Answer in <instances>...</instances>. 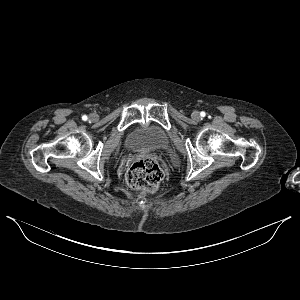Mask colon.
Wrapping results in <instances>:
<instances>
[{"mask_svg":"<svg viewBox=\"0 0 300 300\" xmlns=\"http://www.w3.org/2000/svg\"><path fill=\"white\" fill-rule=\"evenodd\" d=\"M163 177L162 170L153 157L144 156L136 159L126 172L130 187L144 192L155 191Z\"/></svg>","mask_w":300,"mask_h":300,"instance_id":"5ec220e1","label":"colon"}]
</instances>
